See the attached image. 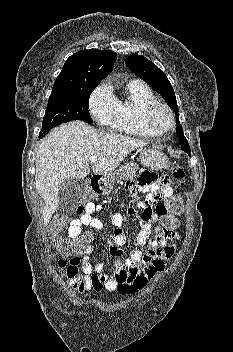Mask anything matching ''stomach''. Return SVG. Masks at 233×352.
<instances>
[{"mask_svg": "<svg viewBox=\"0 0 233 352\" xmlns=\"http://www.w3.org/2000/svg\"><path fill=\"white\" fill-rule=\"evenodd\" d=\"M141 163L150 169L160 170L168 165L167 157L158 149L148 148L141 152L139 157ZM114 175H105L102 178V191L104 193H109L113 188Z\"/></svg>", "mask_w": 233, "mask_h": 352, "instance_id": "1", "label": "stomach"}]
</instances>
